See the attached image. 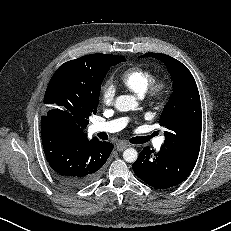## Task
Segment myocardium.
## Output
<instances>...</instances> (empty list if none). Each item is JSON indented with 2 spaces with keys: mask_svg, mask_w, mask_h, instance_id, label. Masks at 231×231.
<instances>
[{
  "mask_svg": "<svg viewBox=\"0 0 231 231\" xmlns=\"http://www.w3.org/2000/svg\"><path fill=\"white\" fill-rule=\"evenodd\" d=\"M170 92L168 78L164 75L153 77L145 95L155 104H162L166 101Z\"/></svg>",
  "mask_w": 231,
  "mask_h": 231,
  "instance_id": "f54148a6",
  "label": "myocardium"
}]
</instances>
